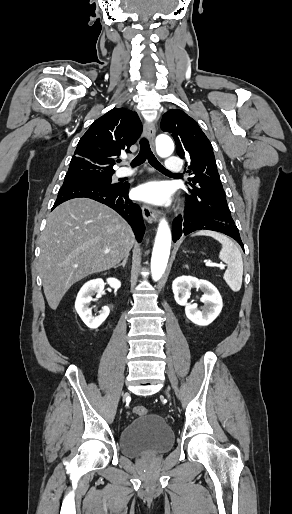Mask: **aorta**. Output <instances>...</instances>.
Instances as JSON below:
<instances>
[{
    "mask_svg": "<svg viewBox=\"0 0 292 514\" xmlns=\"http://www.w3.org/2000/svg\"><path fill=\"white\" fill-rule=\"evenodd\" d=\"M156 152L160 158H169L174 152V144L169 136H158L156 140ZM171 248V232L166 220H160L158 226L155 244L151 258V274L153 280L157 282L162 278Z\"/></svg>",
    "mask_w": 292,
    "mask_h": 514,
    "instance_id": "aorta-1",
    "label": "aorta"
}]
</instances>
